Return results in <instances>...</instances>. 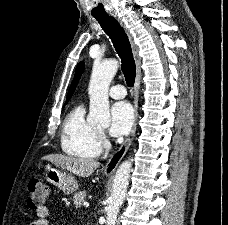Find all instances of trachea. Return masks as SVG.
I'll return each mask as SVG.
<instances>
[{"mask_svg": "<svg viewBox=\"0 0 228 225\" xmlns=\"http://www.w3.org/2000/svg\"><path fill=\"white\" fill-rule=\"evenodd\" d=\"M98 22L104 32L111 38L115 50L121 59V69L127 85L133 87L136 76V65L127 34L119 22L113 17L98 19Z\"/></svg>", "mask_w": 228, "mask_h": 225, "instance_id": "3493384b", "label": "trachea"}]
</instances>
